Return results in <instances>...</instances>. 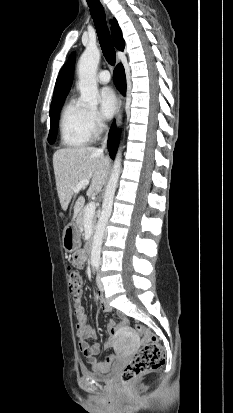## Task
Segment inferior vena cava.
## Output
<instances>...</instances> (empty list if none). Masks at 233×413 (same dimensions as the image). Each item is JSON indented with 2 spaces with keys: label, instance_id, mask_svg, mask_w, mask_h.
<instances>
[{
  "label": "inferior vena cava",
  "instance_id": "1",
  "mask_svg": "<svg viewBox=\"0 0 233 413\" xmlns=\"http://www.w3.org/2000/svg\"><path fill=\"white\" fill-rule=\"evenodd\" d=\"M106 142H107V138L104 140V143H103L102 149L105 147Z\"/></svg>",
  "mask_w": 233,
  "mask_h": 413
}]
</instances>
